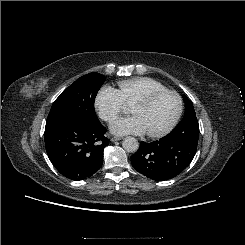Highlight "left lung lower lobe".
<instances>
[{"label":"left lung lower lobe","mask_w":245,"mask_h":245,"mask_svg":"<svg viewBox=\"0 0 245 245\" xmlns=\"http://www.w3.org/2000/svg\"><path fill=\"white\" fill-rule=\"evenodd\" d=\"M197 143L171 141L163 137L151 143L141 142L131 156L136 171L156 181L171 179L180 174L192 161Z\"/></svg>","instance_id":"0a47b994"}]
</instances>
